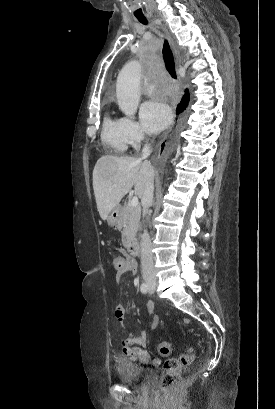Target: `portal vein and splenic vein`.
I'll return each mask as SVG.
<instances>
[{
    "label": "portal vein and splenic vein",
    "instance_id": "obj_1",
    "mask_svg": "<svg viewBox=\"0 0 275 409\" xmlns=\"http://www.w3.org/2000/svg\"><path fill=\"white\" fill-rule=\"evenodd\" d=\"M113 186H116V184H113ZM131 205L132 207H136V205H138V196H133L131 200Z\"/></svg>",
    "mask_w": 275,
    "mask_h": 409
}]
</instances>
